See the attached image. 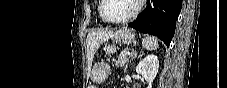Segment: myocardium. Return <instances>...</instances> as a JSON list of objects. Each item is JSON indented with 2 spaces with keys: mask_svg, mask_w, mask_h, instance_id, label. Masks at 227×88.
Masks as SVG:
<instances>
[{
  "mask_svg": "<svg viewBox=\"0 0 227 88\" xmlns=\"http://www.w3.org/2000/svg\"><path fill=\"white\" fill-rule=\"evenodd\" d=\"M106 1L107 0H101L100 1L99 15H100L102 21H104L105 23H109V24H123V23L130 21L132 18H134L138 14V12L141 9V5H142L141 3L143 2L142 0H135L136 1V7L133 10V12H131L128 16H126L124 18L116 19V20H110V19H107L103 14V8L106 4Z\"/></svg>",
  "mask_w": 227,
  "mask_h": 88,
  "instance_id": "myocardium-1",
  "label": "myocardium"
}]
</instances>
